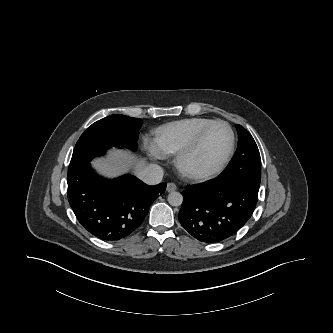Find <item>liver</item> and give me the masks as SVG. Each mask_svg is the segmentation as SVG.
Returning <instances> with one entry per match:
<instances>
[{
    "mask_svg": "<svg viewBox=\"0 0 333 333\" xmlns=\"http://www.w3.org/2000/svg\"><path fill=\"white\" fill-rule=\"evenodd\" d=\"M128 157L125 154L115 155L110 161L105 163L94 162L95 165L105 168L108 173L115 174L117 171L125 169L129 164ZM142 166H139L140 168Z\"/></svg>",
    "mask_w": 333,
    "mask_h": 333,
    "instance_id": "6515ba94",
    "label": "liver"
}]
</instances>
